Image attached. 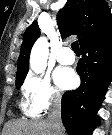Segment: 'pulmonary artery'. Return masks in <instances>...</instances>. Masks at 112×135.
Returning <instances> with one entry per match:
<instances>
[{
    "label": "pulmonary artery",
    "mask_w": 112,
    "mask_h": 135,
    "mask_svg": "<svg viewBox=\"0 0 112 135\" xmlns=\"http://www.w3.org/2000/svg\"><path fill=\"white\" fill-rule=\"evenodd\" d=\"M56 59L63 65H71L75 62V56L69 47H61L56 53Z\"/></svg>",
    "instance_id": "pulmonary-artery-1"
}]
</instances>
